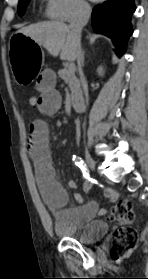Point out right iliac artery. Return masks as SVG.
<instances>
[{
	"label": "right iliac artery",
	"instance_id": "1",
	"mask_svg": "<svg viewBox=\"0 0 148 279\" xmlns=\"http://www.w3.org/2000/svg\"><path fill=\"white\" fill-rule=\"evenodd\" d=\"M74 163L83 171V175L85 178H89V173L87 169L86 163L83 161L81 157H78L76 155L73 156ZM90 187H87V191L89 190Z\"/></svg>",
	"mask_w": 148,
	"mask_h": 279
}]
</instances>
